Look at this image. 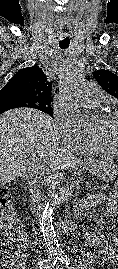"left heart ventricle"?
Returning <instances> with one entry per match:
<instances>
[{
  "label": "left heart ventricle",
  "instance_id": "b2bd125f",
  "mask_svg": "<svg viewBox=\"0 0 118 269\" xmlns=\"http://www.w3.org/2000/svg\"><path fill=\"white\" fill-rule=\"evenodd\" d=\"M95 132L108 134L113 140L118 141V117L109 124L100 119L96 125Z\"/></svg>",
  "mask_w": 118,
  "mask_h": 269
}]
</instances>
